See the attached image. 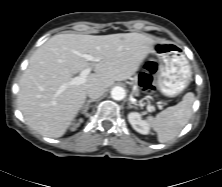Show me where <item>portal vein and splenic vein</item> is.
<instances>
[{
  "label": "portal vein and splenic vein",
  "instance_id": "1",
  "mask_svg": "<svg viewBox=\"0 0 222 187\" xmlns=\"http://www.w3.org/2000/svg\"><path fill=\"white\" fill-rule=\"evenodd\" d=\"M81 56L88 61H97L95 57L89 54H82ZM90 72H91V68H86L82 70L79 76L72 78L67 84L61 86L60 92L64 91L67 88V86L83 84L86 81V78L90 74ZM148 110L153 111L154 110L153 106L148 105Z\"/></svg>",
  "mask_w": 222,
  "mask_h": 187
}]
</instances>
